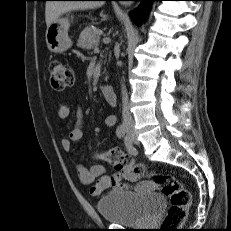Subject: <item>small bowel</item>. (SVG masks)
<instances>
[{
  "mask_svg": "<svg viewBox=\"0 0 231 231\" xmlns=\"http://www.w3.org/2000/svg\"><path fill=\"white\" fill-rule=\"evenodd\" d=\"M70 109L66 104L60 103L57 106V116L60 120H65L69 117ZM105 125L113 127L116 123L114 115L105 117ZM84 114L79 109L77 111V119L75 126L70 131L69 136L61 140L62 149L69 154L70 161L74 165L80 181L85 185H90V194L94 197L100 196L106 190H133L138 193H151L156 190L157 186L151 181L132 182L133 185L121 183L123 175L114 173L106 174V166L95 164L91 167H86L79 163L78 158L72 153V144L81 140L83 135ZM131 182V181H130Z\"/></svg>",
  "mask_w": 231,
  "mask_h": 231,
  "instance_id": "small-bowel-1",
  "label": "small bowel"
}]
</instances>
